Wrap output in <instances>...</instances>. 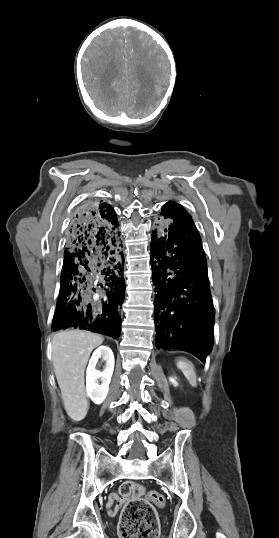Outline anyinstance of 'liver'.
<instances>
[{"label":"liver","instance_id":"liver-1","mask_svg":"<svg viewBox=\"0 0 279 538\" xmlns=\"http://www.w3.org/2000/svg\"><path fill=\"white\" fill-rule=\"evenodd\" d=\"M100 334L84 330H61L52 340V360L64 408L71 420L80 422L87 414L88 402L84 372L94 348L103 344Z\"/></svg>","mask_w":279,"mask_h":538}]
</instances>
